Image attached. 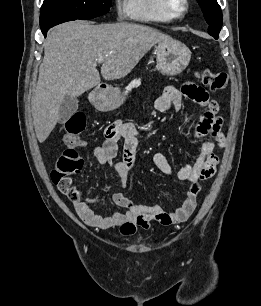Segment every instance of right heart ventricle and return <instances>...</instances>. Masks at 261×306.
Masks as SVG:
<instances>
[{"label":"right heart ventricle","instance_id":"e07e8e85","mask_svg":"<svg viewBox=\"0 0 261 306\" xmlns=\"http://www.w3.org/2000/svg\"><path fill=\"white\" fill-rule=\"evenodd\" d=\"M130 18L144 22H169L172 18L163 10L161 0H127Z\"/></svg>","mask_w":261,"mask_h":306}]
</instances>
